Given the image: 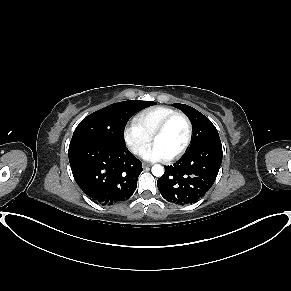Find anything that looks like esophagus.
Instances as JSON below:
<instances>
[{
	"instance_id": "esophagus-1",
	"label": "esophagus",
	"mask_w": 291,
	"mask_h": 291,
	"mask_svg": "<svg viewBox=\"0 0 291 291\" xmlns=\"http://www.w3.org/2000/svg\"><path fill=\"white\" fill-rule=\"evenodd\" d=\"M142 166H143V168H148V167H150V166H151V164H148V163H143V164H142Z\"/></svg>"
}]
</instances>
